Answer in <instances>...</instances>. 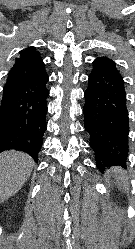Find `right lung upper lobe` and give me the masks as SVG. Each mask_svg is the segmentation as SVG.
<instances>
[{
	"mask_svg": "<svg viewBox=\"0 0 135 249\" xmlns=\"http://www.w3.org/2000/svg\"><path fill=\"white\" fill-rule=\"evenodd\" d=\"M46 74L40 53L34 47H28L20 52L13 67L8 73L6 83L28 80Z\"/></svg>",
	"mask_w": 135,
	"mask_h": 249,
	"instance_id": "cb5924a9",
	"label": "right lung upper lobe"
}]
</instances>
